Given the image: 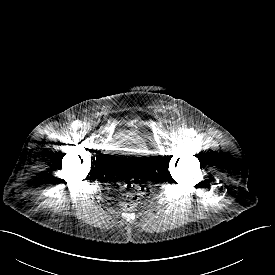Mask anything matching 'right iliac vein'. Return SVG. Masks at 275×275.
<instances>
[{
	"instance_id": "right-iliac-vein-1",
	"label": "right iliac vein",
	"mask_w": 275,
	"mask_h": 275,
	"mask_svg": "<svg viewBox=\"0 0 275 275\" xmlns=\"http://www.w3.org/2000/svg\"><path fill=\"white\" fill-rule=\"evenodd\" d=\"M89 127L90 126L88 124H83L82 129L87 130V129H89Z\"/></svg>"
}]
</instances>
